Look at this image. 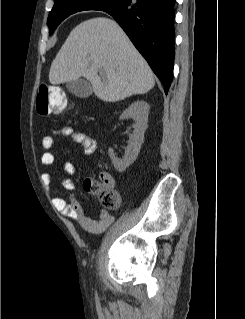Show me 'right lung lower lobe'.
Returning <instances> with one entry per match:
<instances>
[{
    "label": "right lung lower lobe",
    "mask_w": 245,
    "mask_h": 319,
    "mask_svg": "<svg viewBox=\"0 0 245 319\" xmlns=\"http://www.w3.org/2000/svg\"><path fill=\"white\" fill-rule=\"evenodd\" d=\"M175 0H123L104 10L123 28L161 80L167 94L174 66Z\"/></svg>",
    "instance_id": "98d812e1"
}]
</instances>
